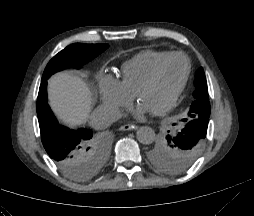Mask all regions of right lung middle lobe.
Instances as JSON below:
<instances>
[{"instance_id": "obj_1", "label": "right lung middle lobe", "mask_w": 254, "mask_h": 216, "mask_svg": "<svg viewBox=\"0 0 254 216\" xmlns=\"http://www.w3.org/2000/svg\"><path fill=\"white\" fill-rule=\"evenodd\" d=\"M109 47L107 44H71L55 55L47 64L42 81L47 80L55 72L68 67L81 68L82 65L94 59ZM95 138V137H94ZM107 145L103 141L96 139L91 150V159L94 172L85 175L79 167L78 162H73L68 168L61 169L66 175L75 180H87L97 174L107 159Z\"/></svg>"}]
</instances>
